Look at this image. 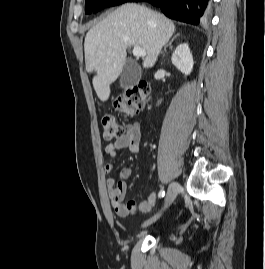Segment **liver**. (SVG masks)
<instances>
[{
    "mask_svg": "<svg viewBox=\"0 0 265 269\" xmlns=\"http://www.w3.org/2000/svg\"><path fill=\"white\" fill-rule=\"evenodd\" d=\"M174 32V23L164 15L130 3L94 25L85 37L84 51L87 72H96L93 86L99 99L109 98L110 85L122 73L128 47L144 49L142 65L151 68Z\"/></svg>",
    "mask_w": 265,
    "mask_h": 269,
    "instance_id": "6515ba94",
    "label": "liver"
}]
</instances>
